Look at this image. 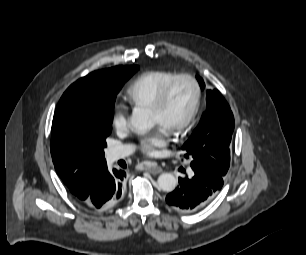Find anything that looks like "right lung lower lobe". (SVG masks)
<instances>
[{
	"instance_id": "right-lung-lower-lobe-1",
	"label": "right lung lower lobe",
	"mask_w": 306,
	"mask_h": 255,
	"mask_svg": "<svg viewBox=\"0 0 306 255\" xmlns=\"http://www.w3.org/2000/svg\"><path fill=\"white\" fill-rule=\"evenodd\" d=\"M125 177L123 170L110 172L104 164L90 169L81 179L69 183L68 188L79 203L102 212L120 201Z\"/></svg>"
}]
</instances>
